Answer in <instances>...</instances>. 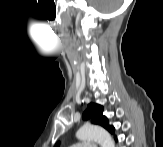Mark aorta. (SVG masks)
<instances>
[{"label": "aorta", "instance_id": "aorta-1", "mask_svg": "<svg viewBox=\"0 0 163 147\" xmlns=\"http://www.w3.org/2000/svg\"><path fill=\"white\" fill-rule=\"evenodd\" d=\"M77 138L82 141H97L101 147H115L110 134L97 125H83L77 132Z\"/></svg>", "mask_w": 163, "mask_h": 147}]
</instances>
